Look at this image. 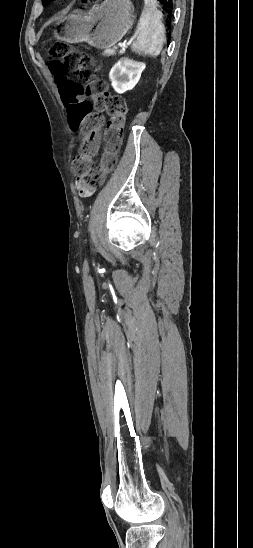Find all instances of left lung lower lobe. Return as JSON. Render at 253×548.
<instances>
[{
  "mask_svg": "<svg viewBox=\"0 0 253 548\" xmlns=\"http://www.w3.org/2000/svg\"><path fill=\"white\" fill-rule=\"evenodd\" d=\"M169 18L172 16L174 0H158Z\"/></svg>",
  "mask_w": 253,
  "mask_h": 548,
  "instance_id": "obj_1",
  "label": "left lung lower lobe"
}]
</instances>
